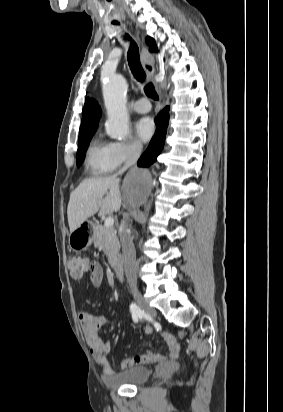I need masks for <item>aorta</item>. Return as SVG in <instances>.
<instances>
[{"mask_svg":"<svg viewBox=\"0 0 283 412\" xmlns=\"http://www.w3.org/2000/svg\"><path fill=\"white\" fill-rule=\"evenodd\" d=\"M127 82L121 75L106 78L103 82V97L107 110L106 132L109 136L123 140L128 136V113L126 108ZM150 185L148 173L137 171L124 184L125 195L133 200L145 195Z\"/></svg>","mask_w":283,"mask_h":412,"instance_id":"aorta-1","label":"aorta"}]
</instances>
